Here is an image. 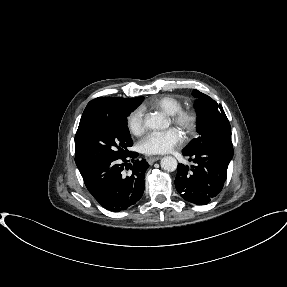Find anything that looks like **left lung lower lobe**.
Returning a JSON list of instances; mask_svg holds the SVG:
<instances>
[{
    "label": "left lung lower lobe",
    "instance_id": "left-lung-lower-lobe-1",
    "mask_svg": "<svg viewBox=\"0 0 287 287\" xmlns=\"http://www.w3.org/2000/svg\"><path fill=\"white\" fill-rule=\"evenodd\" d=\"M195 165L178 164L175 187L186 201L197 205L209 203L221 192L234 151L231 140L212 144L194 153H185Z\"/></svg>",
    "mask_w": 287,
    "mask_h": 287
}]
</instances>
